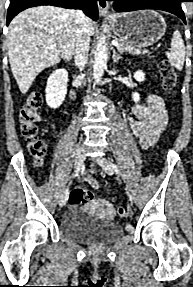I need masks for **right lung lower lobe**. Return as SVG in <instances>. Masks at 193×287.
I'll return each mask as SVG.
<instances>
[{
    "mask_svg": "<svg viewBox=\"0 0 193 287\" xmlns=\"http://www.w3.org/2000/svg\"><path fill=\"white\" fill-rule=\"evenodd\" d=\"M98 0H10L7 12V25L21 11L40 5H52L69 9H82L93 20L98 19Z\"/></svg>",
    "mask_w": 193,
    "mask_h": 287,
    "instance_id": "1",
    "label": "right lung lower lobe"
}]
</instances>
